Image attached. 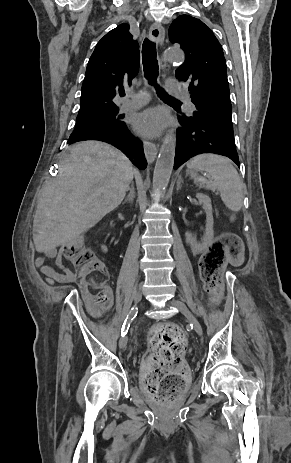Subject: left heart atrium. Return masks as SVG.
I'll list each match as a JSON object with an SVG mask.
<instances>
[{"instance_id": "obj_1", "label": "left heart atrium", "mask_w": 291, "mask_h": 463, "mask_svg": "<svg viewBox=\"0 0 291 463\" xmlns=\"http://www.w3.org/2000/svg\"><path fill=\"white\" fill-rule=\"evenodd\" d=\"M135 130L143 136L155 137L166 125V115L159 108H150L136 115L133 122Z\"/></svg>"}]
</instances>
